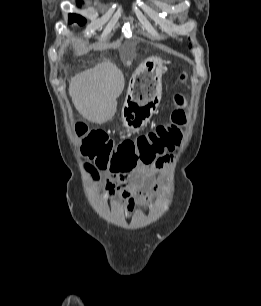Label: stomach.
Wrapping results in <instances>:
<instances>
[{"instance_id":"1","label":"stomach","mask_w":261,"mask_h":306,"mask_svg":"<svg viewBox=\"0 0 261 306\" xmlns=\"http://www.w3.org/2000/svg\"><path fill=\"white\" fill-rule=\"evenodd\" d=\"M165 63L160 57H149L143 65L146 77L139 83L133 79L122 109V118L128 130L143 128L156 111L162 95Z\"/></svg>"}]
</instances>
